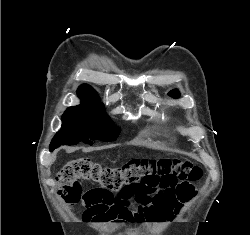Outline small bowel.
<instances>
[{"label": "small bowel", "instance_id": "obj_1", "mask_svg": "<svg viewBox=\"0 0 250 235\" xmlns=\"http://www.w3.org/2000/svg\"><path fill=\"white\" fill-rule=\"evenodd\" d=\"M146 222H162L179 214L184 200L177 195L175 187L157 189L154 192L139 191L133 197Z\"/></svg>", "mask_w": 250, "mask_h": 235}]
</instances>
